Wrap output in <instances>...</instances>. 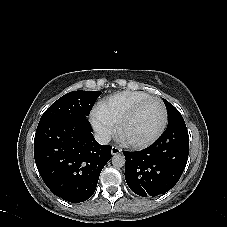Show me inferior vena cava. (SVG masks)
Returning <instances> with one entry per match:
<instances>
[{
    "label": "inferior vena cava",
    "mask_w": 227,
    "mask_h": 227,
    "mask_svg": "<svg viewBox=\"0 0 227 227\" xmlns=\"http://www.w3.org/2000/svg\"><path fill=\"white\" fill-rule=\"evenodd\" d=\"M96 141L101 145H106L110 142V135L104 132H97L94 135Z\"/></svg>",
    "instance_id": "inferior-vena-cava-1"
}]
</instances>
